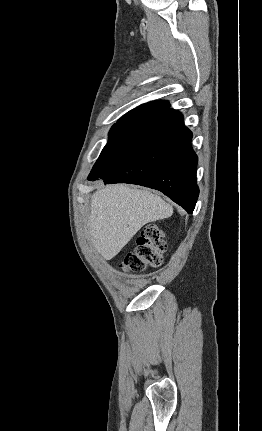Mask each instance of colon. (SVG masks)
<instances>
[{
    "label": "colon",
    "instance_id": "1",
    "mask_svg": "<svg viewBox=\"0 0 262 431\" xmlns=\"http://www.w3.org/2000/svg\"><path fill=\"white\" fill-rule=\"evenodd\" d=\"M166 250L163 232L156 224L143 228L137 236L133 251L126 253L119 267L127 272H142L147 267H159Z\"/></svg>",
    "mask_w": 262,
    "mask_h": 431
}]
</instances>
